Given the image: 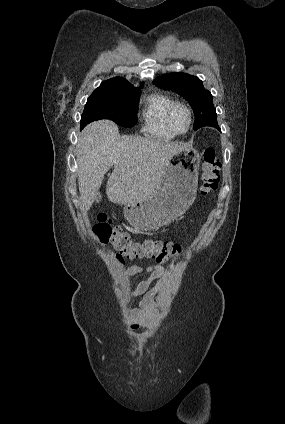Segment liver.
<instances>
[{"label": "liver", "mask_w": 285, "mask_h": 424, "mask_svg": "<svg viewBox=\"0 0 285 424\" xmlns=\"http://www.w3.org/2000/svg\"><path fill=\"white\" fill-rule=\"evenodd\" d=\"M186 149L178 142L118 133L109 120L87 125L76 146L81 209L95 201L105 173L114 165L106 193L115 204L128 205L148 198L159 185L172 156Z\"/></svg>", "instance_id": "obj_1"}]
</instances>
